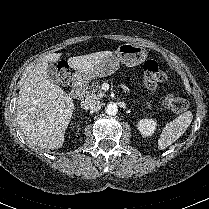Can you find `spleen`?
Listing matches in <instances>:
<instances>
[{
	"label": "spleen",
	"instance_id": "obj_1",
	"mask_svg": "<svg viewBox=\"0 0 209 209\" xmlns=\"http://www.w3.org/2000/svg\"><path fill=\"white\" fill-rule=\"evenodd\" d=\"M192 122V113L187 111L173 121L167 123L162 130L160 138L158 140V148L163 150L175 142Z\"/></svg>",
	"mask_w": 209,
	"mask_h": 209
}]
</instances>
